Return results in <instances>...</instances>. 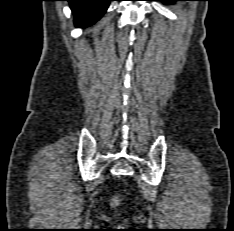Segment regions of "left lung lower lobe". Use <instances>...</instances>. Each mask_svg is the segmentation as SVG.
Returning a JSON list of instances; mask_svg holds the SVG:
<instances>
[{
	"instance_id": "obj_1",
	"label": "left lung lower lobe",
	"mask_w": 234,
	"mask_h": 231,
	"mask_svg": "<svg viewBox=\"0 0 234 231\" xmlns=\"http://www.w3.org/2000/svg\"><path fill=\"white\" fill-rule=\"evenodd\" d=\"M159 1H162L164 3H173L175 1H180V0H159Z\"/></svg>"
}]
</instances>
